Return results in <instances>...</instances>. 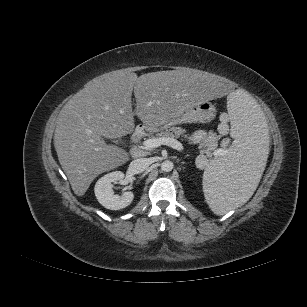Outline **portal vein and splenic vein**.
I'll use <instances>...</instances> for the list:
<instances>
[{"mask_svg": "<svg viewBox=\"0 0 307 307\" xmlns=\"http://www.w3.org/2000/svg\"><path fill=\"white\" fill-rule=\"evenodd\" d=\"M143 145L146 148H157L161 145H167L169 147H172L173 149H176L178 151L183 150V145L181 142H179L178 140L174 139V138H170V137H163V138H151V139H147L143 142ZM225 151L222 149L216 150L214 152L215 157H218L220 155H222Z\"/></svg>", "mask_w": 307, "mask_h": 307, "instance_id": "portal-vein-and-splenic-vein-1", "label": "portal vein and splenic vein"}]
</instances>
